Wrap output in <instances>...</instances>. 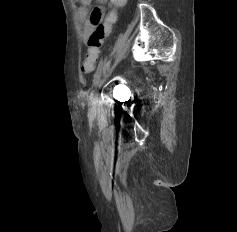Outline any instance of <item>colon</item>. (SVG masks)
I'll use <instances>...</instances> for the list:
<instances>
[{
  "label": "colon",
  "mask_w": 237,
  "mask_h": 232,
  "mask_svg": "<svg viewBox=\"0 0 237 232\" xmlns=\"http://www.w3.org/2000/svg\"><path fill=\"white\" fill-rule=\"evenodd\" d=\"M127 1L128 0H112V8L108 12L104 22L100 24L96 31L88 38V51L81 64L83 73L88 74L93 71L104 39L117 21L119 11L126 5Z\"/></svg>",
  "instance_id": "obj_1"
}]
</instances>
